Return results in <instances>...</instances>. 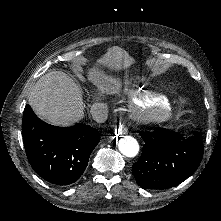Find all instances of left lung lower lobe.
<instances>
[{
	"instance_id": "obj_1",
	"label": "left lung lower lobe",
	"mask_w": 221,
	"mask_h": 221,
	"mask_svg": "<svg viewBox=\"0 0 221 221\" xmlns=\"http://www.w3.org/2000/svg\"><path fill=\"white\" fill-rule=\"evenodd\" d=\"M145 141L140 159L132 166L139 186L146 189L174 187L198 168L203 155L200 133L184 138L181 134L159 129L141 132Z\"/></svg>"
}]
</instances>
